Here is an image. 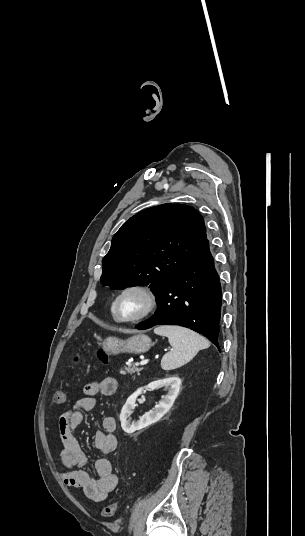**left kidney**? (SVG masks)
Masks as SVG:
<instances>
[{"instance_id": "5707ae66", "label": "left kidney", "mask_w": 305, "mask_h": 536, "mask_svg": "<svg viewBox=\"0 0 305 536\" xmlns=\"http://www.w3.org/2000/svg\"><path fill=\"white\" fill-rule=\"evenodd\" d=\"M161 386L164 390H168L166 396H162V400L158 402L157 406H155L151 412H147V414H144L138 422H133V424H131L132 418H130V416L136 408L135 402L138 396L144 392L145 388H138L132 396L127 398L126 404H124L120 414L121 428H123L126 434H133L136 430H142V428H147V426L155 424V422H158L160 418H163V416L169 412L170 408H172L179 394L181 380L178 376H168V378H164V380L151 382L147 388L156 390V388H161Z\"/></svg>"}]
</instances>
